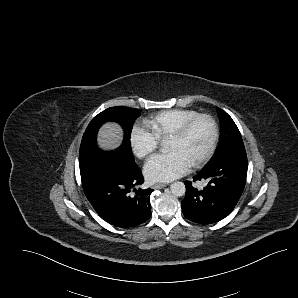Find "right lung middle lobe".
Here are the masks:
<instances>
[{
  "label": "right lung middle lobe",
  "instance_id": "dd1d6c3e",
  "mask_svg": "<svg viewBox=\"0 0 298 298\" xmlns=\"http://www.w3.org/2000/svg\"><path fill=\"white\" fill-rule=\"evenodd\" d=\"M140 110L124 106L108 108L95 116L86 128L80 146L79 165L81 176L103 169L102 157L114 156L125 165H134V157L130 147V136L133 122L140 116ZM115 121L124 129V140L120 148L112 152L101 151L96 144L99 127L107 122Z\"/></svg>",
  "mask_w": 298,
  "mask_h": 298
}]
</instances>
